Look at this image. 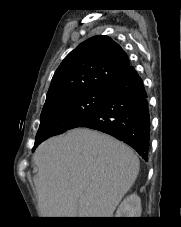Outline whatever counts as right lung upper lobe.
<instances>
[{"label": "right lung upper lobe", "mask_w": 181, "mask_h": 227, "mask_svg": "<svg viewBox=\"0 0 181 227\" xmlns=\"http://www.w3.org/2000/svg\"><path fill=\"white\" fill-rule=\"evenodd\" d=\"M131 68L120 45L108 36H94L62 61L52 78L44 107L61 98L109 88Z\"/></svg>", "instance_id": "right-lung-upper-lobe-1"}]
</instances>
